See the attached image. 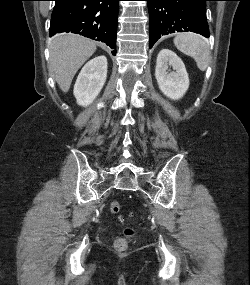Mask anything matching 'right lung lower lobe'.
<instances>
[{
    "label": "right lung lower lobe",
    "instance_id": "right-lung-lower-lobe-1",
    "mask_svg": "<svg viewBox=\"0 0 250 285\" xmlns=\"http://www.w3.org/2000/svg\"><path fill=\"white\" fill-rule=\"evenodd\" d=\"M50 35L73 32L116 48L120 0H54ZM113 55L116 54L114 50Z\"/></svg>",
    "mask_w": 250,
    "mask_h": 285
}]
</instances>
